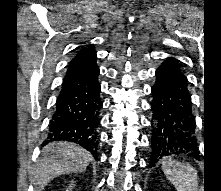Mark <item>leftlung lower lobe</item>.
<instances>
[{"label": "left lung lower lobe", "mask_w": 221, "mask_h": 191, "mask_svg": "<svg viewBox=\"0 0 221 191\" xmlns=\"http://www.w3.org/2000/svg\"><path fill=\"white\" fill-rule=\"evenodd\" d=\"M155 75L157 79L151 89L154 97L151 109L157 129L152 137L150 167L159 159L173 154L198 159L196 122L186 76L174 58L163 62Z\"/></svg>", "instance_id": "0a47b994"}]
</instances>
